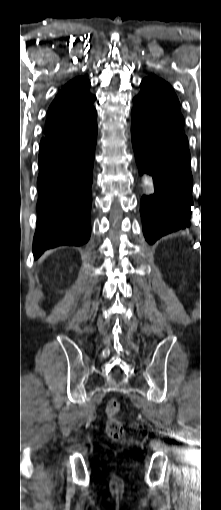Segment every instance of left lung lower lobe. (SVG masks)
Returning a JSON list of instances; mask_svg holds the SVG:
<instances>
[{
	"instance_id": "obj_1",
	"label": "left lung lower lobe",
	"mask_w": 221,
	"mask_h": 510,
	"mask_svg": "<svg viewBox=\"0 0 221 510\" xmlns=\"http://www.w3.org/2000/svg\"><path fill=\"white\" fill-rule=\"evenodd\" d=\"M132 145L140 174L153 178L155 192L143 196L140 213L148 243L190 226L192 174L188 144L163 132L132 109Z\"/></svg>"
}]
</instances>
